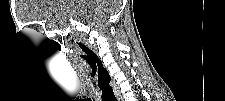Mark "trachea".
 <instances>
[{
    "instance_id": "1",
    "label": "trachea",
    "mask_w": 225,
    "mask_h": 101,
    "mask_svg": "<svg viewBox=\"0 0 225 101\" xmlns=\"http://www.w3.org/2000/svg\"><path fill=\"white\" fill-rule=\"evenodd\" d=\"M102 90H103L102 101H117L111 86L103 87Z\"/></svg>"
}]
</instances>
